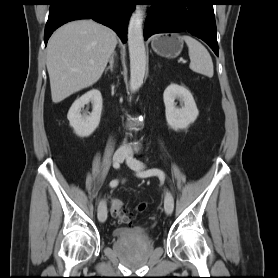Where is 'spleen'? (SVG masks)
<instances>
[{"label": "spleen", "instance_id": "1", "mask_svg": "<svg viewBox=\"0 0 278 278\" xmlns=\"http://www.w3.org/2000/svg\"><path fill=\"white\" fill-rule=\"evenodd\" d=\"M182 39L186 42L189 49L190 69L210 78L213 77V62L207 49L189 35H184Z\"/></svg>", "mask_w": 278, "mask_h": 278}]
</instances>
